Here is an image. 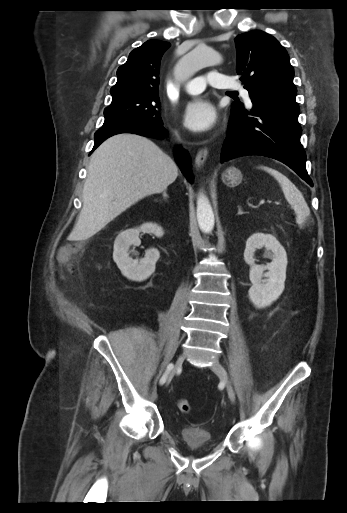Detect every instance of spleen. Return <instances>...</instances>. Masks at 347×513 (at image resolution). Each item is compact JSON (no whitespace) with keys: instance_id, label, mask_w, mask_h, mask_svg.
<instances>
[{"instance_id":"1","label":"spleen","mask_w":347,"mask_h":513,"mask_svg":"<svg viewBox=\"0 0 347 513\" xmlns=\"http://www.w3.org/2000/svg\"><path fill=\"white\" fill-rule=\"evenodd\" d=\"M258 168L266 171L278 181L286 200L295 211L297 223H304L310 215V209L300 190L279 170L264 165H261Z\"/></svg>"}]
</instances>
